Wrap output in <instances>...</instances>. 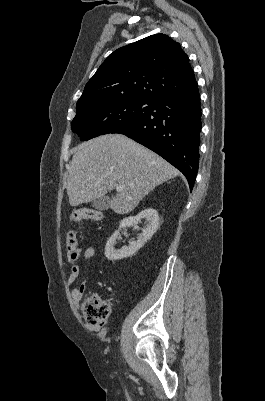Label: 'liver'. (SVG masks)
I'll return each instance as SVG.
<instances>
[{"label": "liver", "instance_id": "6515ba94", "mask_svg": "<svg viewBox=\"0 0 265 401\" xmlns=\"http://www.w3.org/2000/svg\"><path fill=\"white\" fill-rule=\"evenodd\" d=\"M177 174L167 160L124 134H103L76 146L66 188L71 207H78L123 184L109 205L114 213L126 215L157 184Z\"/></svg>", "mask_w": 265, "mask_h": 401}]
</instances>
